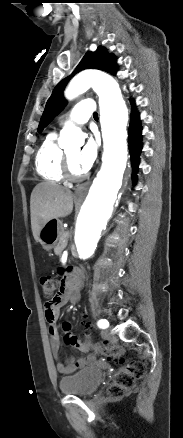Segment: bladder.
Instances as JSON below:
<instances>
[{
    "label": "bladder",
    "mask_w": 183,
    "mask_h": 438,
    "mask_svg": "<svg viewBox=\"0 0 183 438\" xmlns=\"http://www.w3.org/2000/svg\"><path fill=\"white\" fill-rule=\"evenodd\" d=\"M103 372L97 367H87L76 374L62 378L59 382L61 393L75 396H90L103 381Z\"/></svg>",
    "instance_id": "31cf9c89"
}]
</instances>
